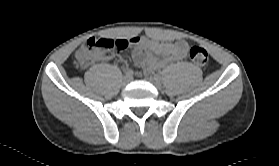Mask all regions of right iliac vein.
<instances>
[{"label":"right iliac vein","mask_w":279,"mask_h":166,"mask_svg":"<svg viewBox=\"0 0 279 166\" xmlns=\"http://www.w3.org/2000/svg\"><path fill=\"white\" fill-rule=\"evenodd\" d=\"M131 77L124 76L121 80V85L126 86L130 82Z\"/></svg>","instance_id":"right-iliac-vein-1"}]
</instances>
